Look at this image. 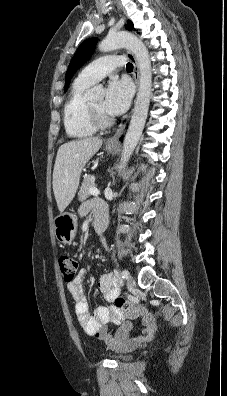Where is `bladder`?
Here are the masks:
<instances>
[{
  "label": "bladder",
  "instance_id": "obj_1",
  "mask_svg": "<svg viewBox=\"0 0 227 396\" xmlns=\"http://www.w3.org/2000/svg\"><path fill=\"white\" fill-rule=\"evenodd\" d=\"M111 357L115 360L125 361L130 358V354L128 352H120V353L111 355Z\"/></svg>",
  "mask_w": 227,
  "mask_h": 396
}]
</instances>
